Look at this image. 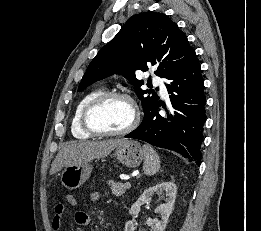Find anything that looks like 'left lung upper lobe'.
I'll return each mask as SVG.
<instances>
[{
	"instance_id": "obj_1",
	"label": "left lung upper lobe",
	"mask_w": 261,
	"mask_h": 231,
	"mask_svg": "<svg viewBox=\"0 0 261 231\" xmlns=\"http://www.w3.org/2000/svg\"><path fill=\"white\" fill-rule=\"evenodd\" d=\"M195 55L186 35L166 15L136 14L91 61L78 91L112 74H121L134 85L145 113L157 104L159 97L155 93L146 96L148 91L140 88L143 81L136 79L135 71H147L149 65H156L155 74L167 79Z\"/></svg>"
}]
</instances>
